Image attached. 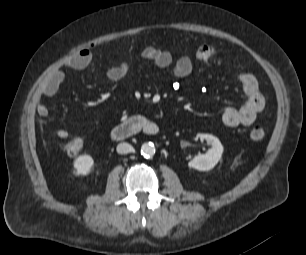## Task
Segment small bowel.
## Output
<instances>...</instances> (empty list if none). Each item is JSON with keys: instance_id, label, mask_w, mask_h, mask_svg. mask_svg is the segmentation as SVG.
<instances>
[{"instance_id": "obj_1", "label": "small bowel", "mask_w": 306, "mask_h": 255, "mask_svg": "<svg viewBox=\"0 0 306 255\" xmlns=\"http://www.w3.org/2000/svg\"><path fill=\"white\" fill-rule=\"evenodd\" d=\"M217 50L211 45L200 46L192 55L183 54L175 62L169 51L159 49L154 46H147L142 50V57L152 62L156 67L165 69L170 67L173 62V74L176 78L183 79L192 75L195 63L204 64L211 59L216 58ZM92 59V53L89 49H81L66 64V68L79 70L86 67ZM130 71V64L123 61L118 65L108 68L105 76L110 81H119L125 78ZM65 78L64 71L57 70L51 73L41 84L37 101V113L41 117H46L49 113L48 106L43 97L54 96ZM237 80L241 85L245 96V102L240 107H228L222 113V121L228 127L250 126L258 114L264 109L265 101L259 91L258 81L251 73H241ZM57 137L65 139L69 133L66 129L59 128L55 131Z\"/></svg>"}]
</instances>
